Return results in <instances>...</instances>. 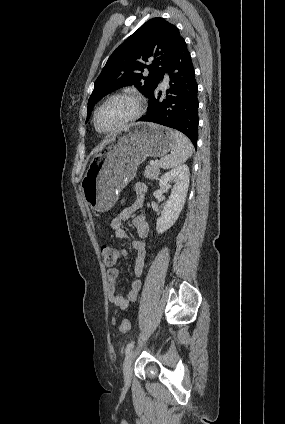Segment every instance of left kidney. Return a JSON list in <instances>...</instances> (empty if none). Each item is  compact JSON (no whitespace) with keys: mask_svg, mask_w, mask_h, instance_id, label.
I'll return each instance as SVG.
<instances>
[{"mask_svg":"<svg viewBox=\"0 0 285 424\" xmlns=\"http://www.w3.org/2000/svg\"><path fill=\"white\" fill-rule=\"evenodd\" d=\"M189 175L188 166L180 165L168 171L159 179V186L164 192L170 190V182L173 181L176 185L171 189L169 200L165 203L161 216L157 219L156 230L158 234L164 233L177 221L185 204Z\"/></svg>","mask_w":285,"mask_h":424,"instance_id":"obj_1","label":"left kidney"}]
</instances>
